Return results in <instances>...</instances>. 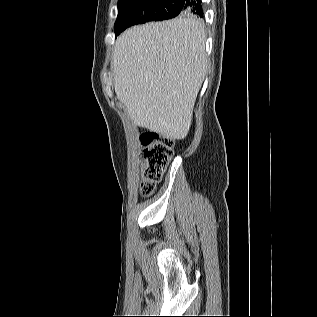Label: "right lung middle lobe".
<instances>
[{
	"label": "right lung middle lobe",
	"instance_id": "right-lung-middle-lobe-1",
	"mask_svg": "<svg viewBox=\"0 0 317 317\" xmlns=\"http://www.w3.org/2000/svg\"><path fill=\"white\" fill-rule=\"evenodd\" d=\"M177 2L178 0H119L115 22L116 37L135 24L166 20L177 15L192 18L191 13L181 11Z\"/></svg>",
	"mask_w": 317,
	"mask_h": 317
}]
</instances>
